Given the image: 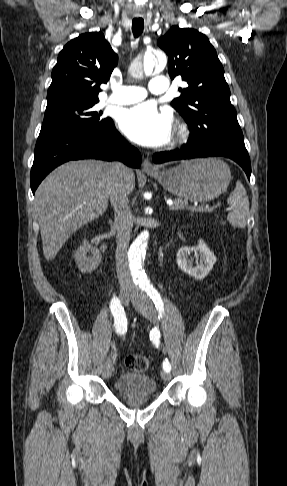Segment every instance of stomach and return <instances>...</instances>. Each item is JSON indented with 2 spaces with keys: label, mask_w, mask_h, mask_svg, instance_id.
Listing matches in <instances>:
<instances>
[{
  "label": "stomach",
  "mask_w": 287,
  "mask_h": 486,
  "mask_svg": "<svg viewBox=\"0 0 287 486\" xmlns=\"http://www.w3.org/2000/svg\"><path fill=\"white\" fill-rule=\"evenodd\" d=\"M148 174L170 193L197 202L217 198L231 180L230 168L217 158L186 160L174 168Z\"/></svg>",
  "instance_id": "0dacf381"
}]
</instances>
